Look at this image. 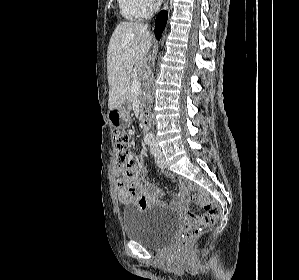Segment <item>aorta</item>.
I'll return each instance as SVG.
<instances>
[{
    "label": "aorta",
    "instance_id": "aorta-1",
    "mask_svg": "<svg viewBox=\"0 0 299 280\" xmlns=\"http://www.w3.org/2000/svg\"><path fill=\"white\" fill-rule=\"evenodd\" d=\"M146 138L154 139V135L152 133H148V134H146Z\"/></svg>",
    "mask_w": 299,
    "mask_h": 280
}]
</instances>
